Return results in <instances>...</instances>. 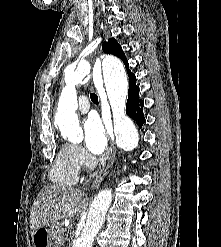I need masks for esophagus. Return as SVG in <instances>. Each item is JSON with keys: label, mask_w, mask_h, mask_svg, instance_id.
<instances>
[{"label": "esophagus", "mask_w": 221, "mask_h": 247, "mask_svg": "<svg viewBox=\"0 0 221 247\" xmlns=\"http://www.w3.org/2000/svg\"><path fill=\"white\" fill-rule=\"evenodd\" d=\"M106 108V102L102 99V114L104 116V119L107 118V111L105 110ZM108 156V162L107 164L102 168L101 172L99 173V175L96 177L95 181L93 182L92 187L97 186L102 180L103 178L107 175L108 171L111 169V167L114 164L115 161V147L113 144V141L111 140V144H110V148H109V152L107 153Z\"/></svg>", "instance_id": "esophagus-1"}]
</instances>
